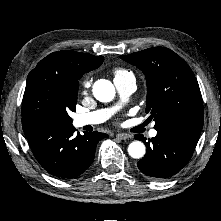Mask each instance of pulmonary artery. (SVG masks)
Instances as JSON below:
<instances>
[{"label":"pulmonary artery","instance_id":"pulmonary-artery-1","mask_svg":"<svg viewBox=\"0 0 221 221\" xmlns=\"http://www.w3.org/2000/svg\"><path fill=\"white\" fill-rule=\"evenodd\" d=\"M114 82L118 92L122 97H128L135 91L136 84L134 76H129L120 80H114ZM112 112L113 109H101L89 113L78 114L74 118V124L77 127L99 124L108 119ZM149 135L151 137H155L157 135V131L155 129H151Z\"/></svg>","mask_w":221,"mask_h":221}]
</instances>
